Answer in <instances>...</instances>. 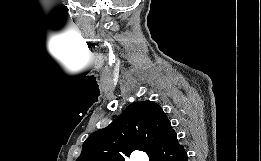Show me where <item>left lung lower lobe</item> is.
Returning a JSON list of instances; mask_svg holds the SVG:
<instances>
[{"label":"left lung lower lobe","mask_w":261,"mask_h":161,"mask_svg":"<svg viewBox=\"0 0 261 161\" xmlns=\"http://www.w3.org/2000/svg\"><path fill=\"white\" fill-rule=\"evenodd\" d=\"M150 161H187V153L173 132L160 146L148 154Z\"/></svg>","instance_id":"obj_1"}]
</instances>
